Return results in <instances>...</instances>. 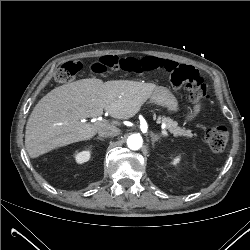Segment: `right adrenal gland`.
<instances>
[{"label": "right adrenal gland", "instance_id": "2a0ac1e0", "mask_svg": "<svg viewBox=\"0 0 250 250\" xmlns=\"http://www.w3.org/2000/svg\"><path fill=\"white\" fill-rule=\"evenodd\" d=\"M95 139H96V140L104 141V139H103L102 137H96Z\"/></svg>", "mask_w": 250, "mask_h": 250}]
</instances>
